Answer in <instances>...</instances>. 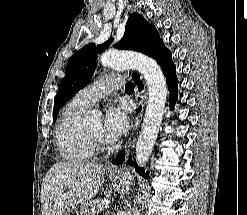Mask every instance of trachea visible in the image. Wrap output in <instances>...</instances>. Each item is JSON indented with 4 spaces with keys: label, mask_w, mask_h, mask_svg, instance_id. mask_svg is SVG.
I'll return each mask as SVG.
<instances>
[{
    "label": "trachea",
    "mask_w": 247,
    "mask_h": 215,
    "mask_svg": "<svg viewBox=\"0 0 247 215\" xmlns=\"http://www.w3.org/2000/svg\"><path fill=\"white\" fill-rule=\"evenodd\" d=\"M125 91H134V85L131 82L126 83Z\"/></svg>",
    "instance_id": "1"
}]
</instances>
